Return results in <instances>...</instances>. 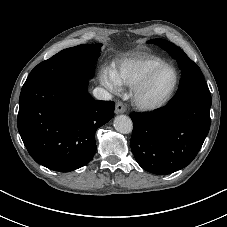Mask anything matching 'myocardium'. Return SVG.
I'll use <instances>...</instances> for the list:
<instances>
[{"mask_svg": "<svg viewBox=\"0 0 227 227\" xmlns=\"http://www.w3.org/2000/svg\"><path fill=\"white\" fill-rule=\"evenodd\" d=\"M165 69H171L175 73V82L173 87L161 100L157 102H152V103L146 102L143 98L144 93L146 92L147 88L149 87V85L151 84L155 76ZM179 83H180V75L178 70L174 66L169 64H164L162 66H159L154 70H152L150 73H148L136 86L133 87L132 102L134 106L141 111L152 112V111L159 110L164 106H166L173 98L174 94L178 89Z\"/></svg>", "mask_w": 227, "mask_h": 227, "instance_id": "1", "label": "myocardium"}]
</instances>
